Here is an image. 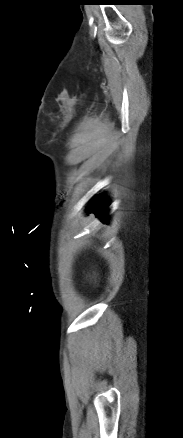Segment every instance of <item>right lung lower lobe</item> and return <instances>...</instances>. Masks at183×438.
<instances>
[{
    "instance_id": "right-lung-lower-lobe-1",
    "label": "right lung lower lobe",
    "mask_w": 183,
    "mask_h": 438,
    "mask_svg": "<svg viewBox=\"0 0 183 438\" xmlns=\"http://www.w3.org/2000/svg\"><path fill=\"white\" fill-rule=\"evenodd\" d=\"M90 208L92 212L96 215V217H99L102 219L103 222H106L104 216L107 208V202L103 197H100L96 201H94Z\"/></svg>"
}]
</instances>
